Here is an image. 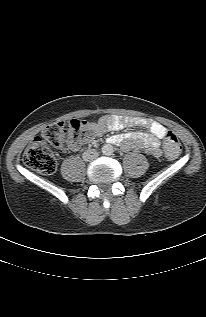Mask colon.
<instances>
[{
    "instance_id": "5ec220e1",
    "label": "colon",
    "mask_w": 206,
    "mask_h": 317,
    "mask_svg": "<svg viewBox=\"0 0 206 317\" xmlns=\"http://www.w3.org/2000/svg\"><path fill=\"white\" fill-rule=\"evenodd\" d=\"M96 130L93 126L79 120L59 122L48 126L40 137H36L26 148L23 161L25 165L41 174L55 172L57 163L50 147L71 149L74 145L88 140ZM181 146L177 136L168 131L165 136V152L175 158Z\"/></svg>"
}]
</instances>
